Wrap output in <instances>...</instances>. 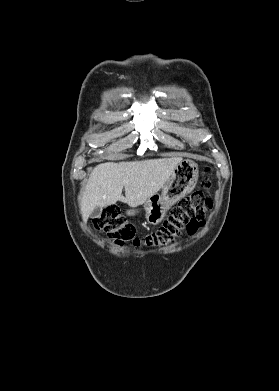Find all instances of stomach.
<instances>
[{
    "label": "stomach",
    "instance_id": "1",
    "mask_svg": "<svg viewBox=\"0 0 279 391\" xmlns=\"http://www.w3.org/2000/svg\"><path fill=\"white\" fill-rule=\"evenodd\" d=\"M198 177V165L189 159L182 160L163 186L161 194L151 196L144 203L143 210L147 222L153 225L160 223L167 211L195 188ZM135 213V210L127 211L128 215Z\"/></svg>",
    "mask_w": 279,
    "mask_h": 391
}]
</instances>
